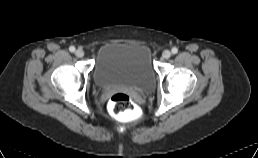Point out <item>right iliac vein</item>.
<instances>
[{"instance_id":"obj_1","label":"right iliac vein","mask_w":258,"mask_h":158,"mask_svg":"<svg viewBox=\"0 0 258 158\" xmlns=\"http://www.w3.org/2000/svg\"><path fill=\"white\" fill-rule=\"evenodd\" d=\"M75 55L78 57V58H81L84 56V51L82 49H77L76 52H75Z\"/></svg>"}]
</instances>
